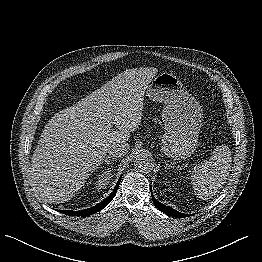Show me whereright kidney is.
Masks as SVG:
<instances>
[{
  "mask_svg": "<svg viewBox=\"0 0 262 262\" xmlns=\"http://www.w3.org/2000/svg\"><path fill=\"white\" fill-rule=\"evenodd\" d=\"M111 171H106L100 175H98V181H97V186L95 187L97 189V191H99L100 189H105L107 187V185L110 182V179L112 177Z\"/></svg>",
  "mask_w": 262,
  "mask_h": 262,
  "instance_id": "ca27d5eb",
  "label": "right kidney"
}]
</instances>
